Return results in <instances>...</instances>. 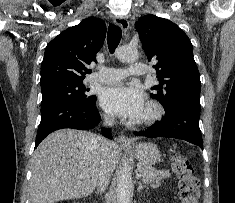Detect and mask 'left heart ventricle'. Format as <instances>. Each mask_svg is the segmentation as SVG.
<instances>
[{"instance_id":"b2bd125f","label":"left heart ventricle","mask_w":235,"mask_h":203,"mask_svg":"<svg viewBox=\"0 0 235 203\" xmlns=\"http://www.w3.org/2000/svg\"><path fill=\"white\" fill-rule=\"evenodd\" d=\"M145 114H146V111L144 110V112H143V114H142V116H141V117H143ZM141 117H140V118H141Z\"/></svg>"}]
</instances>
